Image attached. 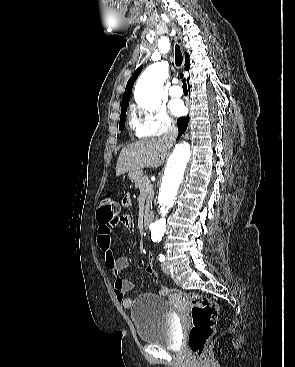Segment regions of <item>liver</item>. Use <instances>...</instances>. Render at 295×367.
I'll use <instances>...</instances> for the list:
<instances>
[{
	"instance_id": "1",
	"label": "liver",
	"mask_w": 295,
	"mask_h": 367,
	"mask_svg": "<svg viewBox=\"0 0 295 367\" xmlns=\"http://www.w3.org/2000/svg\"><path fill=\"white\" fill-rule=\"evenodd\" d=\"M168 147L161 138L141 140L124 147L118 157L116 176L142 168L160 167Z\"/></svg>"
}]
</instances>
